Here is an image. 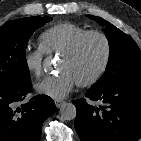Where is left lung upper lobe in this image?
I'll list each match as a JSON object with an SVG mask.
<instances>
[{
    "label": "left lung upper lobe",
    "instance_id": "5c2ea615",
    "mask_svg": "<svg viewBox=\"0 0 141 141\" xmlns=\"http://www.w3.org/2000/svg\"><path fill=\"white\" fill-rule=\"evenodd\" d=\"M88 17L105 26L110 46L106 71L90 89L98 90L121 82L141 81V51L134 40L108 21L92 15Z\"/></svg>",
    "mask_w": 141,
    "mask_h": 141
}]
</instances>
